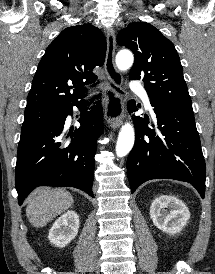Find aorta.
<instances>
[{
	"label": "aorta",
	"instance_id": "aorta-1",
	"mask_svg": "<svg viewBox=\"0 0 215 274\" xmlns=\"http://www.w3.org/2000/svg\"><path fill=\"white\" fill-rule=\"evenodd\" d=\"M134 58L130 51L121 50L116 56L117 67L125 71L129 69L133 64ZM135 135L134 128L130 123H126L122 126L117 144H116V154L118 157H123L127 155L134 145Z\"/></svg>",
	"mask_w": 215,
	"mask_h": 274
}]
</instances>
